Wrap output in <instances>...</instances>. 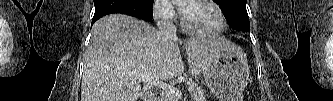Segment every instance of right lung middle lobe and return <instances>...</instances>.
<instances>
[{
  "instance_id": "dd1d6c3e",
  "label": "right lung middle lobe",
  "mask_w": 333,
  "mask_h": 101,
  "mask_svg": "<svg viewBox=\"0 0 333 101\" xmlns=\"http://www.w3.org/2000/svg\"><path fill=\"white\" fill-rule=\"evenodd\" d=\"M144 3L146 4L147 7H149L150 9H152V5L154 0H143Z\"/></svg>"
}]
</instances>
